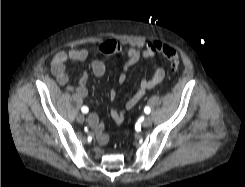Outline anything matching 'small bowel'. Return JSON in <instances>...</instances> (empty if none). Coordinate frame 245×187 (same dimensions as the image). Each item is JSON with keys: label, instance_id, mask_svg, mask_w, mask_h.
<instances>
[{"label": "small bowel", "instance_id": "1", "mask_svg": "<svg viewBox=\"0 0 245 187\" xmlns=\"http://www.w3.org/2000/svg\"><path fill=\"white\" fill-rule=\"evenodd\" d=\"M159 41H152L148 43L146 47L129 48L126 51V60L123 64L121 73L118 76L119 84H124L127 80L128 72L130 68L139 60L154 57L158 54L155 51V47L162 45ZM122 51L120 44L114 39H106L99 44L95 50L88 49H75L60 50L54 54L51 60V72L54 75L56 81L66 89L75 94L78 98L83 99L87 96V83L89 80L88 72L84 71L80 76L76 85H70L69 76L66 72V63L68 61H87L90 60V67L92 73L96 77H103L106 74V66L104 62L95 57L100 55L102 57H108L113 54H118ZM165 79V70L162 67H157L153 74L139 84L138 90L126 101L124 107L126 110H131L136 106L140 99L147 93V91L163 85ZM109 97L115 99L116 91L110 90ZM110 116L113 121L120 125L124 121V112L119 108H112ZM89 125L94 129L97 141L100 144H106L109 140V135L104 132V126L99 117L92 114L89 117Z\"/></svg>", "mask_w": 245, "mask_h": 187}]
</instances>
